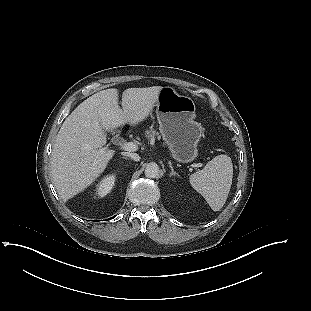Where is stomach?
Listing matches in <instances>:
<instances>
[{
  "label": "stomach",
  "instance_id": "obj_1",
  "mask_svg": "<svg viewBox=\"0 0 311 311\" xmlns=\"http://www.w3.org/2000/svg\"><path fill=\"white\" fill-rule=\"evenodd\" d=\"M155 106L160 133L173 158L182 163L193 161L198 155L197 144L202 136V126L194 120V101L164 87Z\"/></svg>",
  "mask_w": 311,
  "mask_h": 311
}]
</instances>
